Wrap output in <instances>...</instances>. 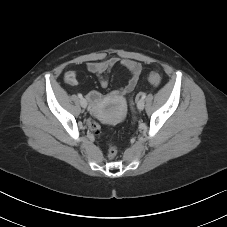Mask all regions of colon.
I'll list each match as a JSON object with an SVG mask.
<instances>
[{"instance_id": "colon-1", "label": "colon", "mask_w": 227, "mask_h": 227, "mask_svg": "<svg viewBox=\"0 0 227 227\" xmlns=\"http://www.w3.org/2000/svg\"><path fill=\"white\" fill-rule=\"evenodd\" d=\"M148 80L154 86H158L161 83V77L157 72H151L148 76ZM88 126H89V129L95 135H99L101 133V125L96 119L94 118L89 119ZM116 155H117V148L113 143H111L108 149V158L114 159Z\"/></svg>"}]
</instances>
